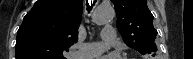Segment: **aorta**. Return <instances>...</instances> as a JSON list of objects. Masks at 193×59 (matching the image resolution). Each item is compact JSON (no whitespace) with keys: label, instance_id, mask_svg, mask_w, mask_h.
<instances>
[{"label":"aorta","instance_id":"aorta-1","mask_svg":"<svg viewBox=\"0 0 193 59\" xmlns=\"http://www.w3.org/2000/svg\"><path fill=\"white\" fill-rule=\"evenodd\" d=\"M115 17V10L110 4H101L93 12L92 20L97 25L109 23Z\"/></svg>","mask_w":193,"mask_h":59}]
</instances>
